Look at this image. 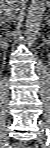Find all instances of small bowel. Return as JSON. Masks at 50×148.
<instances>
[{"label":"small bowel","instance_id":"small-bowel-1","mask_svg":"<svg viewBox=\"0 0 50 148\" xmlns=\"http://www.w3.org/2000/svg\"><path fill=\"white\" fill-rule=\"evenodd\" d=\"M20 146H21V145H19V144H16V145H15V147H20Z\"/></svg>","mask_w":50,"mask_h":148}]
</instances>
